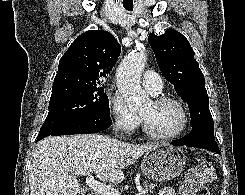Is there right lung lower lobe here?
<instances>
[{"instance_id": "obj_1", "label": "right lung lower lobe", "mask_w": 245, "mask_h": 195, "mask_svg": "<svg viewBox=\"0 0 245 195\" xmlns=\"http://www.w3.org/2000/svg\"><path fill=\"white\" fill-rule=\"evenodd\" d=\"M111 123L110 115L96 114L64 125L49 134L39 136L37 141L46 136L95 133L107 129L111 126Z\"/></svg>"}]
</instances>
